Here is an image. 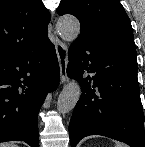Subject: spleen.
I'll use <instances>...</instances> for the list:
<instances>
[{
	"label": "spleen",
	"instance_id": "obj_1",
	"mask_svg": "<svg viewBox=\"0 0 145 147\" xmlns=\"http://www.w3.org/2000/svg\"><path fill=\"white\" fill-rule=\"evenodd\" d=\"M115 147H124V145L117 143Z\"/></svg>",
	"mask_w": 145,
	"mask_h": 147
}]
</instances>
